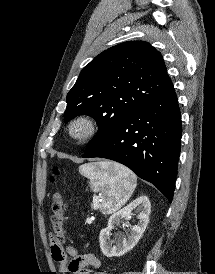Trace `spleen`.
<instances>
[{"label":"spleen","instance_id":"spleen-1","mask_svg":"<svg viewBox=\"0 0 215 274\" xmlns=\"http://www.w3.org/2000/svg\"><path fill=\"white\" fill-rule=\"evenodd\" d=\"M79 172L90 180L92 190L99 193V208L104 214L120 209L136 187V176L119 164L88 163L81 165Z\"/></svg>","mask_w":215,"mask_h":274}]
</instances>
